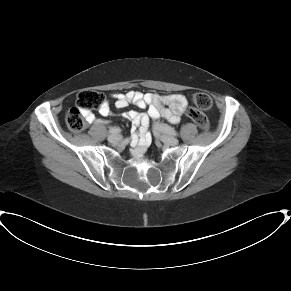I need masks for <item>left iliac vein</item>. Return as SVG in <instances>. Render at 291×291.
Here are the masks:
<instances>
[{
    "instance_id": "left-iliac-vein-1",
    "label": "left iliac vein",
    "mask_w": 291,
    "mask_h": 291,
    "mask_svg": "<svg viewBox=\"0 0 291 291\" xmlns=\"http://www.w3.org/2000/svg\"><path fill=\"white\" fill-rule=\"evenodd\" d=\"M164 125L163 124H157L155 126V131L158 133H161V139L162 141L167 144V145H171V146H175L178 144V139L175 138L174 136H171L169 134H166L165 130H164Z\"/></svg>"
}]
</instances>
